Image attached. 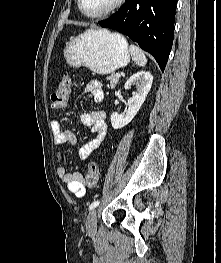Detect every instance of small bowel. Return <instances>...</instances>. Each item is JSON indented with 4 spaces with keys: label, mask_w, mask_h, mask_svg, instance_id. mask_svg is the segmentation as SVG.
Masks as SVG:
<instances>
[{
    "label": "small bowel",
    "mask_w": 221,
    "mask_h": 263,
    "mask_svg": "<svg viewBox=\"0 0 221 263\" xmlns=\"http://www.w3.org/2000/svg\"><path fill=\"white\" fill-rule=\"evenodd\" d=\"M85 92L89 93L96 103L104 100V92L102 84L98 80H92L85 86ZM106 115L103 111H94L85 113L81 116L82 123L87 126L95 137L79 150L81 159H87L95 150L99 148L107 134ZM52 130L54 133V143L61 147L65 145H74L76 136L67 127L58 121L52 122ZM62 154H58V160L62 161ZM57 174L60 180L67 186L76 198H81L85 193L83 175L78 171L68 172L64 166L59 165Z\"/></svg>",
    "instance_id": "1"
}]
</instances>
